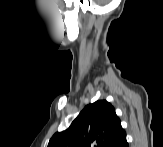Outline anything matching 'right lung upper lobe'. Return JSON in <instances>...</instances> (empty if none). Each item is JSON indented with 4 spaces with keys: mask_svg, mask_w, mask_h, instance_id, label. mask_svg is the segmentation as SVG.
Instances as JSON below:
<instances>
[{
    "mask_svg": "<svg viewBox=\"0 0 163 147\" xmlns=\"http://www.w3.org/2000/svg\"><path fill=\"white\" fill-rule=\"evenodd\" d=\"M125 134L114 107L98 100L87 105L68 129L56 132L48 147H112Z\"/></svg>",
    "mask_w": 163,
    "mask_h": 147,
    "instance_id": "obj_1",
    "label": "right lung upper lobe"
}]
</instances>
